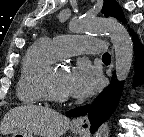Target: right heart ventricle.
Segmentation results:
<instances>
[{"mask_svg": "<svg viewBox=\"0 0 144 137\" xmlns=\"http://www.w3.org/2000/svg\"><path fill=\"white\" fill-rule=\"evenodd\" d=\"M59 58L52 41L42 39L26 52L17 83L19 100L28 105L41 104L48 100L42 81L46 71Z\"/></svg>", "mask_w": 144, "mask_h": 137, "instance_id": "right-heart-ventricle-1", "label": "right heart ventricle"}]
</instances>
